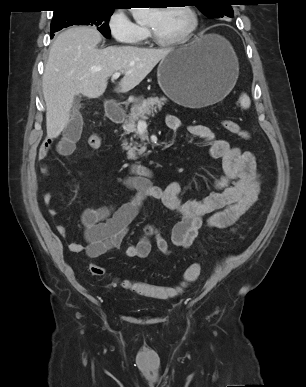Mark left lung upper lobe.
Wrapping results in <instances>:
<instances>
[{"label":"left lung upper lobe","instance_id":"left-lung-upper-lobe-1","mask_svg":"<svg viewBox=\"0 0 306 387\" xmlns=\"http://www.w3.org/2000/svg\"><path fill=\"white\" fill-rule=\"evenodd\" d=\"M231 0H192L194 5L199 8L209 18L233 17V9L230 5Z\"/></svg>","mask_w":306,"mask_h":387}]
</instances>
